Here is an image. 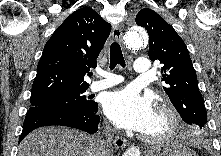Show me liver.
<instances>
[{
	"instance_id": "obj_1",
	"label": "liver",
	"mask_w": 221,
	"mask_h": 156,
	"mask_svg": "<svg viewBox=\"0 0 221 156\" xmlns=\"http://www.w3.org/2000/svg\"><path fill=\"white\" fill-rule=\"evenodd\" d=\"M95 136L65 127H42L29 133L19 145V156H105Z\"/></svg>"
}]
</instances>
